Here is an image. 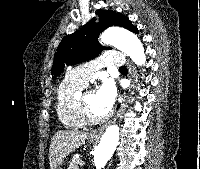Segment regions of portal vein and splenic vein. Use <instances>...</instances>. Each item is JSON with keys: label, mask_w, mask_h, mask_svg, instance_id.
I'll return each mask as SVG.
<instances>
[{"label": "portal vein and splenic vein", "mask_w": 200, "mask_h": 169, "mask_svg": "<svg viewBox=\"0 0 200 169\" xmlns=\"http://www.w3.org/2000/svg\"><path fill=\"white\" fill-rule=\"evenodd\" d=\"M79 165H80V166H83V165H84V162H83V161H81Z\"/></svg>", "instance_id": "1"}]
</instances>
